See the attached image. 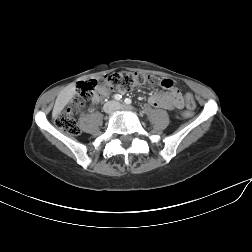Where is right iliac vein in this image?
Here are the masks:
<instances>
[{
  "label": "right iliac vein",
  "instance_id": "1",
  "mask_svg": "<svg viewBox=\"0 0 252 252\" xmlns=\"http://www.w3.org/2000/svg\"><path fill=\"white\" fill-rule=\"evenodd\" d=\"M116 109V103L114 101L109 102L105 107L104 110L106 113H112Z\"/></svg>",
  "mask_w": 252,
  "mask_h": 252
}]
</instances>
